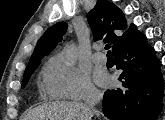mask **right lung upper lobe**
<instances>
[{"mask_svg":"<svg viewBox=\"0 0 165 120\" xmlns=\"http://www.w3.org/2000/svg\"><path fill=\"white\" fill-rule=\"evenodd\" d=\"M88 23L94 41L104 39V41L110 42L113 53L141 34L133 24L128 28L122 11L107 0H98L96 6L88 14ZM66 29L65 22H59L47 29L39 39L27 68L48 55L60 41Z\"/></svg>","mask_w":165,"mask_h":120,"instance_id":"cb5924a9","label":"right lung upper lobe"}]
</instances>
